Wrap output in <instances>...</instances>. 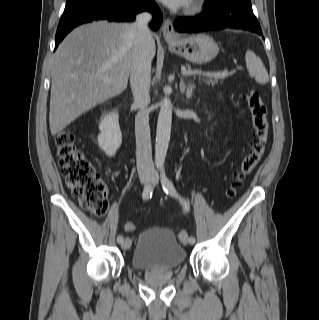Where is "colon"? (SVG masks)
Here are the masks:
<instances>
[{"label":"colon","instance_id":"colon-1","mask_svg":"<svg viewBox=\"0 0 319 320\" xmlns=\"http://www.w3.org/2000/svg\"><path fill=\"white\" fill-rule=\"evenodd\" d=\"M246 101L254 134L248 152L232 175L230 186L226 192L229 198L236 196V189L243 184L247 176L260 162L268 143L269 125L265 102L256 89H250L247 92ZM55 144L61 173L73 196L83 208L93 215L102 216L105 214L108 207L106 186L98 175L92 160L76 144L73 131L59 132L56 135ZM124 229L134 231L136 226L126 222Z\"/></svg>","mask_w":319,"mask_h":320}]
</instances>
